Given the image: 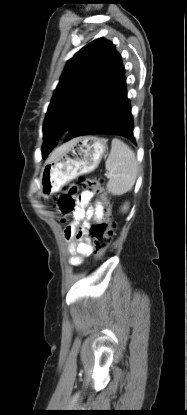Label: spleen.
Masks as SVG:
<instances>
[{
  "label": "spleen",
  "instance_id": "spleen-1",
  "mask_svg": "<svg viewBox=\"0 0 187 415\" xmlns=\"http://www.w3.org/2000/svg\"><path fill=\"white\" fill-rule=\"evenodd\" d=\"M105 167L111 176L106 187L112 195H122L134 186L138 162L134 151L123 141L117 138L112 140Z\"/></svg>",
  "mask_w": 187,
  "mask_h": 415
}]
</instances>
